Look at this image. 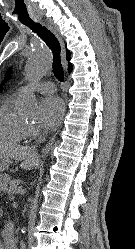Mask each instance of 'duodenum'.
I'll return each mask as SVG.
<instances>
[{
  "mask_svg": "<svg viewBox=\"0 0 135 249\" xmlns=\"http://www.w3.org/2000/svg\"><path fill=\"white\" fill-rule=\"evenodd\" d=\"M6 247H7V246L5 245L3 248L6 249Z\"/></svg>",
  "mask_w": 135,
  "mask_h": 249,
  "instance_id": "obj_1",
  "label": "duodenum"
}]
</instances>
